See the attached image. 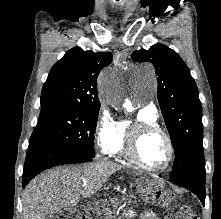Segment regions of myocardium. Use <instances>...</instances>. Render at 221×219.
Here are the masks:
<instances>
[{
  "label": "myocardium",
  "instance_id": "f54148a6",
  "mask_svg": "<svg viewBox=\"0 0 221 219\" xmlns=\"http://www.w3.org/2000/svg\"><path fill=\"white\" fill-rule=\"evenodd\" d=\"M151 133H158L162 135L168 146V158H167L166 164L160 168L148 166L146 163L142 161V159L139 156L138 148H139L140 141L142 140L144 136H146L147 134H151ZM125 152L128 158L133 163H135L136 165H138L139 167H141L142 169L146 171L154 172V173H163L169 170L173 164L174 157H175L174 144L170 135L157 124L142 122V121L134 122L130 126L127 132V136H126Z\"/></svg>",
  "mask_w": 221,
  "mask_h": 219
}]
</instances>
